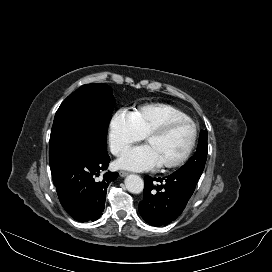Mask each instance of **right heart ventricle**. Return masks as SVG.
Returning <instances> with one entry per match:
<instances>
[{"label": "right heart ventricle", "instance_id": "1", "mask_svg": "<svg viewBox=\"0 0 272 272\" xmlns=\"http://www.w3.org/2000/svg\"><path fill=\"white\" fill-rule=\"evenodd\" d=\"M135 124L142 135L172 119L189 118L181 109L166 103L146 104L133 112Z\"/></svg>", "mask_w": 272, "mask_h": 272}]
</instances>
